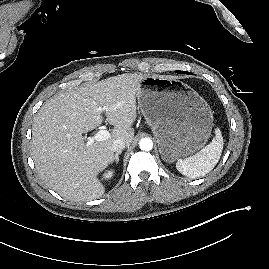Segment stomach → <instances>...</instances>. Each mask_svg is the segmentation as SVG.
<instances>
[{
    "label": "stomach",
    "mask_w": 269,
    "mask_h": 269,
    "mask_svg": "<svg viewBox=\"0 0 269 269\" xmlns=\"http://www.w3.org/2000/svg\"><path fill=\"white\" fill-rule=\"evenodd\" d=\"M138 105L166 162H174L206 143L213 126L210 106L178 80L146 76L137 92Z\"/></svg>",
    "instance_id": "0dacf381"
}]
</instances>
